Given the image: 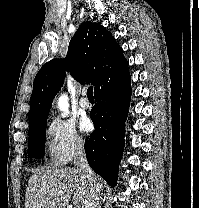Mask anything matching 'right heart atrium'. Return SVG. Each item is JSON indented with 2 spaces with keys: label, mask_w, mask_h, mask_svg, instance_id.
Here are the masks:
<instances>
[{
  "label": "right heart atrium",
  "mask_w": 199,
  "mask_h": 208,
  "mask_svg": "<svg viewBox=\"0 0 199 208\" xmlns=\"http://www.w3.org/2000/svg\"><path fill=\"white\" fill-rule=\"evenodd\" d=\"M85 140L75 123L66 118L55 117L47 127V149L56 164L65 165L83 152Z\"/></svg>",
  "instance_id": "obj_1"
}]
</instances>
